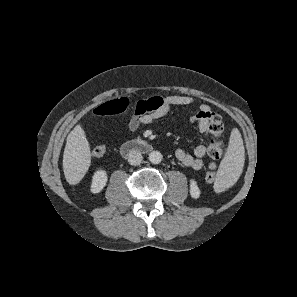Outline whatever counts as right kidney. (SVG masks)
<instances>
[{
    "label": "right kidney",
    "mask_w": 297,
    "mask_h": 297,
    "mask_svg": "<svg viewBox=\"0 0 297 297\" xmlns=\"http://www.w3.org/2000/svg\"><path fill=\"white\" fill-rule=\"evenodd\" d=\"M108 181L105 170H98L94 173L91 183V192L96 194L102 191Z\"/></svg>",
    "instance_id": "ca27d5eb"
}]
</instances>
